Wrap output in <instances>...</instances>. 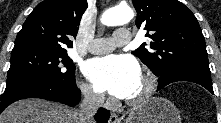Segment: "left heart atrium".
<instances>
[{
  "instance_id": "left-heart-atrium-1",
  "label": "left heart atrium",
  "mask_w": 221,
  "mask_h": 123,
  "mask_svg": "<svg viewBox=\"0 0 221 123\" xmlns=\"http://www.w3.org/2000/svg\"><path fill=\"white\" fill-rule=\"evenodd\" d=\"M84 74L98 91L118 98H126L140 78L137 62L124 55L93 58L85 64Z\"/></svg>"
}]
</instances>
